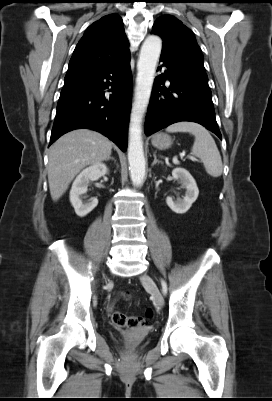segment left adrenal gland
<instances>
[{
	"mask_svg": "<svg viewBox=\"0 0 272 401\" xmlns=\"http://www.w3.org/2000/svg\"><path fill=\"white\" fill-rule=\"evenodd\" d=\"M153 157H154V161H153V163H152V167L154 166V165H156L157 163L159 164V163H161L162 164V161H159L158 159H157V157H156V154L154 153L153 154Z\"/></svg>",
	"mask_w": 272,
	"mask_h": 401,
	"instance_id": "obj_1",
	"label": "left adrenal gland"
}]
</instances>
